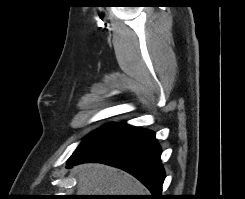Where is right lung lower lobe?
Here are the masks:
<instances>
[{"mask_svg":"<svg viewBox=\"0 0 245 199\" xmlns=\"http://www.w3.org/2000/svg\"><path fill=\"white\" fill-rule=\"evenodd\" d=\"M160 155L154 132L120 123L98 141L74 153L67 167L85 162L111 165L142 182L152 193L149 199H163L165 173Z\"/></svg>","mask_w":245,"mask_h":199,"instance_id":"right-lung-lower-lobe-1","label":"right lung lower lobe"}]
</instances>
